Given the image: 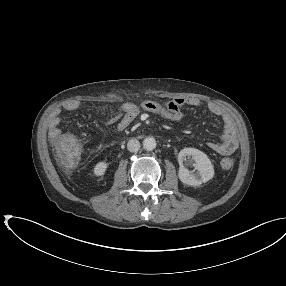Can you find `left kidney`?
Instances as JSON below:
<instances>
[{"label":"left kidney","instance_id":"5707ae66","mask_svg":"<svg viewBox=\"0 0 286 286\" xmlns=\"http://www.w3.org/2000/svg\"><path fill=\"white\" fill-rule=\"evenodd\" d=\"M187 157H192L195 161L194 168L198 171L197 174H192L187 168L184 167L183 161ZM179 172L178 177L184 184L190 186H199L213 178L214 167L208 156L195 148H184L178 154Z\"/></svg>","mask_w":286,"mask_h":286}]
</instances>
